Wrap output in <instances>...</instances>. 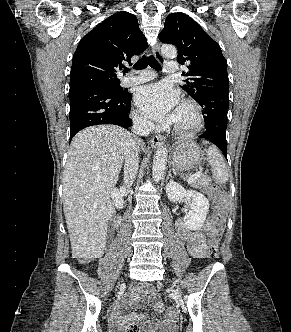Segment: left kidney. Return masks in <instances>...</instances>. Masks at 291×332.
Instances as JSON below:
<instances>
[{
	"mask_svg": "<svg viewBox=\"0 0 291 332\" xmlns=\"http://www.w3.org/2000/svg\"><path fill=\"white\" fill-rule=\"evenodd\" d=\"M167 197L171 202H177L185 196L191 198V209L185 215L184 222L190 230H200L209 210V201L201 193L195 190H186L180 184L170 181L166 185Z\"/></svg>",
	"mask_w": 291,
	"mask_h": 332,
	"instance_id": "left-kidney-1",
	"label": "left kidney"
}]
</instances>
